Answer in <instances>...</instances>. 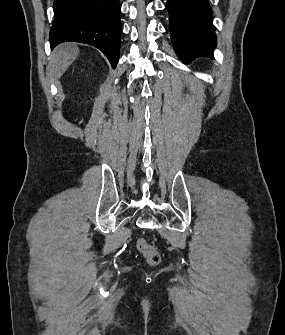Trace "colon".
<instances>
[{
  "label": "colon",
  "mask_w": 285,
  "mask_h": 335,
  "mask_svg": "<svg viewBox=\"0 0 285 335\" xmlns=\"http://www.w3.org/2000/svg\"><path fill=\"white\" fill-rule=\"evenodd\" d=\"M137 250L144 256L147 263L157 265L161 260V255L157 248L148 243L144 238H139L136 242Z\"/></svg>",
  "instance_id": "obj_1"
}]
</instances>
